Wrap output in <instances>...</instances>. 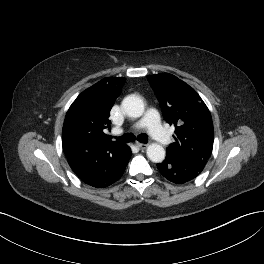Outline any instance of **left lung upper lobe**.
<instances>
[{"label":"left lung upper lobe","mask_w":264,"mask_h":264,"mask_svg":"<svg viewBox=\"0 0 264 264\" xmlns=\"http://www.w3.org/2000/svg\"><path fill=\"white\" fill-rule=\"evenodd\" d=\"M166 122L175 126V142L167 152L182 161L205 164L214 140L210 112L196 91L176 76L161 73L148 76Z\"/></svg>","instance_id":"obj_1"}]
</instances>
